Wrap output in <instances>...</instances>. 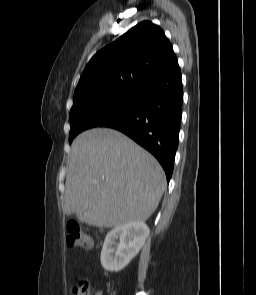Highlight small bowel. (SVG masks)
I'll return each mask as SVG.
<instances>
[{"instance_id": "c3829d8e", "label": "small bowel", "mask_w": 256, "mask_h": 295, "mask_svg": "<svg viewBox=\"0 0 256 295\" xmlns=\"http://www.w3.org/2000/svg\"><path fill=\"white\" fill-rule=\"evenodd\" d=\"M94 295H102V291L101 290H97Z\"/></svg>"}]
</instances>
